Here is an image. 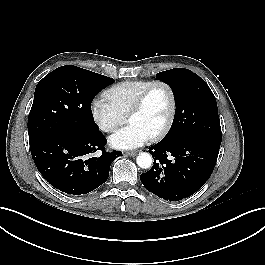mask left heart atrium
I'll return each instance as SVG.
<instances>
[{
    "label": "left heart atrium",
    "mask_w": 265,
    "mask_h": 265,
    "mask_svg": "<svg viewBox=\"0 0 265 265\" xmlns=\"http://www.w3.org/2000/svg\"><path fill=\"white\" fill-rule=\"evenodd\" d=\"M149 133L135 124H129L109 138L111 147L122 150L135 149L150 140Z\"/></svg>",
    "instance_id": "1"
}]
</instances>
